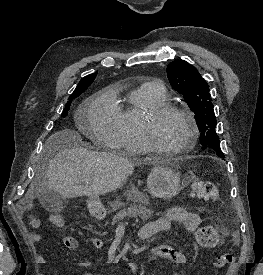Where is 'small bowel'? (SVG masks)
<instances>
[{
  "instance_id": "small-bowel-1",
  "label": "small bowel",
  "mask_w": 263,
  "mask_h": 275,
  "mask_svg": "<svg viewBox=\"0 0 263 275\" xmlns=\"http://www.w3.org/2000/svg\"><path fill=\"white\" fill-rule=\"evenodd\" d=\"M52 218L53 216L51 217V222L53 223ZM202 220V216L197 212H191L182 207L170 208L164 211L161 216L158 217L156 220L144 225L140 230V237L142 239H148L155 234L168 231L173 223H177L188 232L195 234L197 240V235L200 231L199 227L202 223ZM53 224L57 227H62L64 224L63 218L61 217L60 223ZM31 226L33 228H39L41 226V222L37 219H32ZM32 239L34 242L39 243L41 241V236L37 233H34ZM62 242L65 247L71 250H76L79 247L78 240L72 236H64ZM90 243L96 250H101L104 246L103 241L98 237L91 238ZM153 253L157 258L170 260L178 266V269L174 271L172 275H180L182 267L187 263V258L182 251L175 250L174 248L166 244H161L155 247L153 249ZM37 261L40 264L46 263L42 254H38ZM77 265L85 269L80 275H101L95 274L93 272L92 265L88 261H80L77 263Z\"/></svg>"
}]
</instances>
